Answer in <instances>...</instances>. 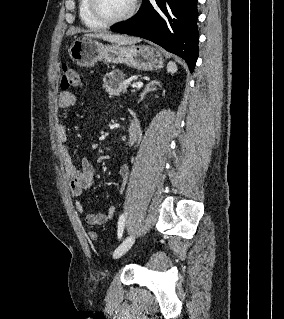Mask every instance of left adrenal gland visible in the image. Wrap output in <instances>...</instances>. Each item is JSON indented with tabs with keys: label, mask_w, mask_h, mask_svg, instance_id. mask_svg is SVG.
<instances>
[{
	"label": "left adrenal gland",
	"mask_w": 284,
	"mask_h": 319,
	"mask_svg": "<svg viewBox=\"0 0 284 319\" xmlns=\"http://www.w3.org/2000/svg\"><path fill=\"white\" fill-rule=\"evenodd\" d=\"M158 85V82L155 80L150 81L144 88V90L142 91V93L140 94V98L138 100V103L143 101L144 96L146 95V93L150 92V91H155L156 90V86Z\"/></svg>",
	"instance_id": "left-adrenal-gland-1"
}]
</instances>
